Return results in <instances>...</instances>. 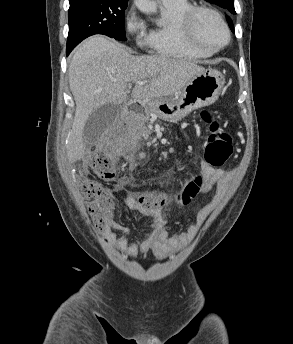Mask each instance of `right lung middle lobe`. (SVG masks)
I'll return each mask as SVG.
<instances>
[{"mask_svg":"<svg viewBox=\"0 0 293 344\" xmlns=\"http://www.w3.org/2000/svg\"><path fill=\"white\" fill-rule=\"evenodd\" d=\"M125 1L82 0L70 3L68 11L69 33L67 55L83 39L94 34H103L125 41Z\"/></svg>","mask_w":293,"mask_h":344,"instance_id":"1","label":"right lung middle lobe"}]
</instances>
